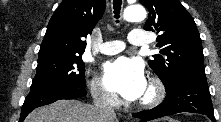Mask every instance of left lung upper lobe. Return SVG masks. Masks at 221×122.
<instances>
[{
    "label": "left lung upper lobe",
    "instance_id": "5c2ea615",
    "mask_svg": "<svg viewBox=\"0 0 221 122\" xmlns=\"http://www.w3.org/2000/svg\"><path fill=\"white\" fill-rule=\"evenodd\" d=\"M149 10L144 29L159 33L160 54L153 55L149 66L165 88L188 78H206L203 50L196 24L179 0H140Z\"/></svg>",
    "mask_w": 221,
    "mask_h": 122
}]
</instances>
